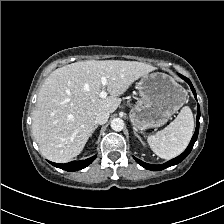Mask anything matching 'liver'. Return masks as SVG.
<instances>
[{
	"mask_svg": "<svg viewBox=\"0 0 224 224\" xmlns=\"http://www.w3.org/2000/svg\"><path fill=\"white\" fill-rule=\"evenodd\" d=\"M156 67L137 61H79L53 71L43 82L32 113V132L41 154L65 163L79 155L95 131L96 114L113 113L133 82ZM101 77L109 95L100 98Z\"/></svg>",
	"mask_w": 224,
	"mask_h": 224,
	"instance_id": "1",
	"label": "liver"
}]
</instances>
